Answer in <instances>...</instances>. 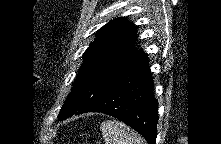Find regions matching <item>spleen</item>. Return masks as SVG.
<instances>
[{"label":"spleen","instance_id":"3e777b00","mask_svg":"<svg viewBox=\"0 0 221 144\" xmlns=\"http://www.w3.org/2000/svg\"><path fill=\"white\" fill-rule=\"evenodd\" d=\"M100 129L106 144H144L138 133L120 121H104Z\"/></svg>","mask_w":221,"mask_h":144}]
</instances>
